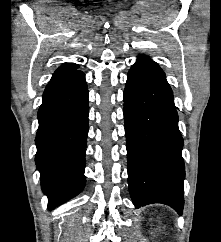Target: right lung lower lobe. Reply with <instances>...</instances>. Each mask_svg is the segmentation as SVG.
I'll use <instances>...</instances> for the list:
<instances>
[{
  "label": "right lung lower lobe",
  "instance_id": "1",
  "mask_svg": "<svg viewBox=\"0 0 221 242\" xmlns=\"http://www.w3.org/2000/svg\"><path fill=\"white\" fill-rule=\"evenodd\" d=\"M88 113V89L82 71L48 83L38 111L35 162L50 210L85 186Z\"/></svg>",
  "mask_w": 221,
  "mask_h": 242
}]
</instances>
